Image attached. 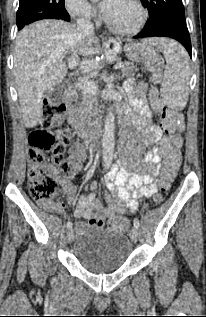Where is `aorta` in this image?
<instances>
[{"label": "aorta", "instance_id": "762f6f07", "mask_svg": "<svg viewBox=\"0 0 206 317\" xmlns=\"http://www.w3.org/2000/svg\"><path fill=\"white\" fill-rule=\"evenodd\" d=\"M115 116L112 107L108 109L102 137L103 161L109 166L112 163L115 141Z\"/></svg>", "mask_w": 206, "mask_h": 317}]
</instances>
